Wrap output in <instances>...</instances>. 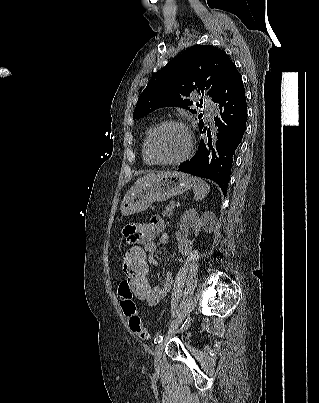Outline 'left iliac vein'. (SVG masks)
<instances>
[{
  "label": "left iliac vein",
  "instance_id": "left-iliac-vein-1",
  "mask_svg": "<svg viewBox=\"0 0 319 403\" xmlns=\"http://www.w3.org/2000/svg\"><path fill=\"white\" fill-rule=\"evenodd\" d=\"M188 327H189V324L185 327V329H187ZM163 349H164L163 341L158 343L154 349V364L157 368H160V365H161V356H162Z\"/></svg>",
  "mask_w": 319,
  "mask_h": 403
}]
</instances>
